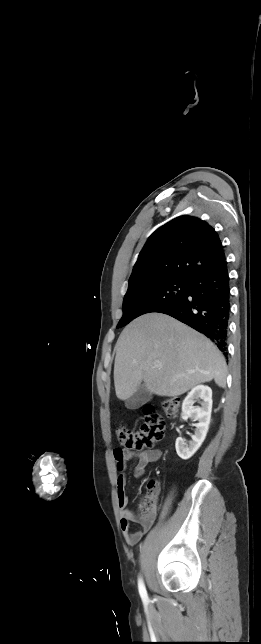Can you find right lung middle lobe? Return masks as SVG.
<instances>
[{"mask_svg": "<svg viewBox=\"0 0 261 644\" xmlns=\"http://www.w3.org/2000/svg\"><path fill=\"white\" fill-rule=\"evenodd\" d=\"M188 279L168 278L144 283L127 290L123 316L117 328L146 313L158 312L176 304L187 292Z\"/></svg>", "mask_w": 261, "mask_h": 644, "instance_id": "right-lung-middle-lobe-1", "label": "right lung middle lobe"}]
</instances>
